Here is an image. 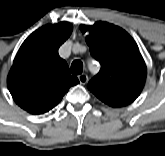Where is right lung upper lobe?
Here are the masks:
<instances>
[{
	"label": "right lung upper lobe",
	"instance_id": "right-lung-upper-lobe-1",
	"mask_svg": "<svg viewBox=\"0 0 165 156\" xmlns=\"http://www.w3.org/2000/svg\"><path fill=\"white\" fill-rule=\"evenodd\" d=\"M72 29L68 22L45 25L21 45L8 75V88L14 101L27 112L51 110L71 86L79 83L58 54Z\"/></svg>",
	"mask_w": 165,
	"mask_h": 156
}]
</instances>
